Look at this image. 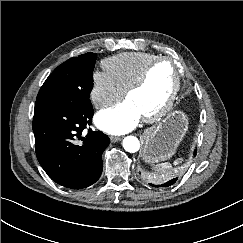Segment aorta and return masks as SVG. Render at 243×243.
Returning a JSON list of instances; mask_svg holds the SVG:
<instances>
[{
    "label": "aorta",
    "mask_w": 243,
    "mask_h": 243,
    "mask_svg": "<svg viewBox=\"0 0 243 243\" xmlns=\"http://www.w3.org/2000/svg\"><path fill=\"white\" fill-rule=\"evenodd\" d=\"M123 147L127 152L135 153L140 148V142L135 136H127L123 139Z\"/></svg>",
    "instance_id": "obj_1"
}]
</instances>
